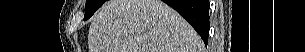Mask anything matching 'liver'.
Wrapping results in <instances>:
<instances>
[{
  "label": "liver",
  "mask_w": 305,
  "mask_h": 52,
  "mask_svg": "<svg viewBox=\"0 0 305 52\" xmlns=\"http://www.w3.org/2000/svg\"><path fill=\"white\" fill-rule=\"evenodd\" d=\"M89 52H203L196 31L160 0H110L92 18Z\"/></svg>",
  "instance_id": "obj_1"
}]
</instances>
